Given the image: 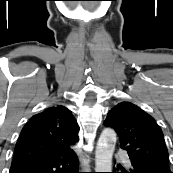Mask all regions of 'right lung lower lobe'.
<instances>
[{
    "mask_svg": "<svg viewBox=\"0 0 173 173\" xmlns=\"http://www.w3.org/2000/svg\"><path fill=\"white\" fill-rule=\"evenodd\" d=\"M74 151L58 157L11 165L10 173H79Z\"/></svg>",
    "mask_w": 173,
    "mask_h": 173,
    "instance_id": "obj_1",
    "label": "right lung lower lobe"
}]
</instances>
